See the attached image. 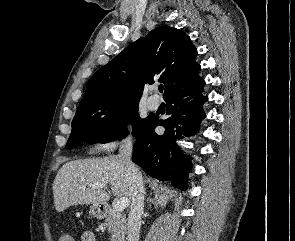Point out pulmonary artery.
<instances>
[{"instance_id":"e3ab8cb5","label":"pulmonary artery","mask_w":295,"mask_h":241,"mask_svg":"<svg viewBox=\"0 0 295 241\" xmlns=\"http://www.w3.org/2000/svg\"><path fill=\"white\" fill-rule=\"evenodd\" d=\"M147 104H148L149 109L155 110L159 106V101L155 96H151V97H149Z\"/></svg>"}]
</instances>
